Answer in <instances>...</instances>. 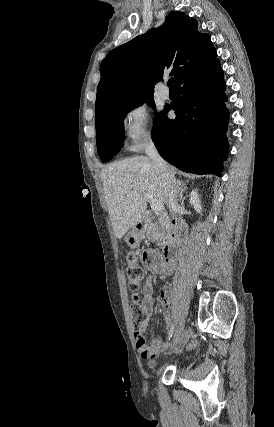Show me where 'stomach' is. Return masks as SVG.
<instances>
[{
  "instance_id": "1",
  "label": "stomach",
  "mask_w": 274,
  "mask_h": 427,
  "mask_svg": "<svg viewBox=\"0 0 274 427\" xmlns=\"http://www.w3.org/2000/svg\"><path fill=\"white\" fill-rule=\"evenodd\" d=\"M143 237V231H140L138 227H134L131 231H128L125 235V241L128 243L129 247H139V243Z\"/></svg>"
}]
</instances>
